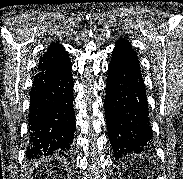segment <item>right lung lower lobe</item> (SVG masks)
Masks as SVG:
<instances>
[{
  "mask_svg": "<svg viewBox=\"0 0 183 179\" xmlns=\"http://www.w3.org/2000/svg\"><path fill=\"white\" fill-rule=\"evenodd\" d=\"M72 65L37 71L30 93L26 157H68L75 132Z\"/></svg>",
  "mask_w": 183,
  "mask_h": 179,
  "instance_id": "obj_1",
  "label": "right lung lower lobe"
}]
</instances>
